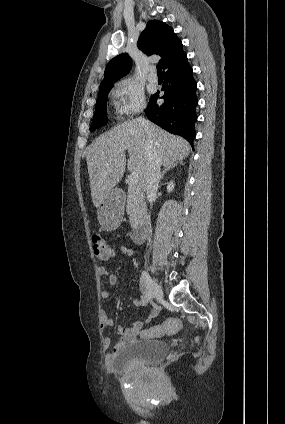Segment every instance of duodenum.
Instances as JSON below:
<instances>
[{
	"instance_id": "duodenum-1",
	"label": "duodenum",
	"mask_w": 285,
	"mask_h": 424,
	"mask_svg": "<svg viewBox=\"0 0 285 424\" xmlns=\"http://www.w3.org/2000/svg\"><path fill=\"white\" fill-rule=\"evenodd\" d=\"M148 225L146 223L138 225L132 232V239L135 244L145 242L148 234Z\"/></svg>"
}]
</instances>
